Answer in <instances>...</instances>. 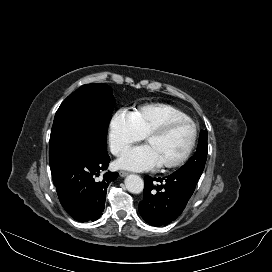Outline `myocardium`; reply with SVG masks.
I'll list each match as a JSON object with an SVG mask.
<instances>
[{
    "mask_svg": "<svg viewBox=\"0 0 272 272\" xmlns=\"http://www.w3.org/2000/svg\"><path fill=\"white\" fill-rule=\"evenodd\" d=\"M181 124H188L192 127V138L190 141V144L185 151V153L176 161L170 162V163H161L160 167L165 168V169H173L182 166L187 162V160L190 158L196 142H197V137H198V128L196 123L191 119V118H180V119H172L169 121H166L165 123L161 124L160 126L150 130L146 135H145V140L147 141L148 139L155 137V136H161L166 133H168L172 128L175 126L181 125Z\"/></svg>",
    "mask_w": 272,
    "mask_h": 272,
    "instance_id": "f54148a6",
    "label": "myocardium"
}]
</instances>
